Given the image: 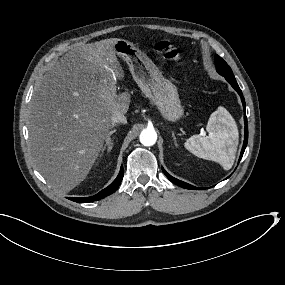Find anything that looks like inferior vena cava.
<instances>
[{
  "mask_svg": "<svg viewBox=\"0 0 285 285\" xmlns=\"http://www.w3.org/2000/svg\"><path fill=\"white\" fill-rule=\"evenodd\" d=\"M111 122H112V125L114 126V125H116V123L126 124L127 120H126V117L124 116V114H122L121 112H115L112 115Z\"/></svg>",
  "mask_w": 285,
  "mask_h": 285,
  "instance_id": "inferior-vena-cava-1",
  "label": "inferior vena cava"
}]
</instances>
